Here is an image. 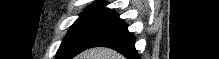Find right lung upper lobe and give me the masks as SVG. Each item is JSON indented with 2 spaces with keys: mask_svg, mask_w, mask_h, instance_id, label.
<instances>
[{
  "mask_svg": "<svg viewBox=\"0 0 219 59\" xmlns=\"http://www.w3.org/2000/svg\"><path fill=\"white\" fill-rule=\"evenodd\" d=\"M108 4L106 1H98L96 3H93L89 7L85 8V12L87 13H104V12H113L112 10L105 8V6Z\"/></svg>",
  "mask_w": 219,
  "mask_h": 59,
  "instance_id": "1",
  "label": "right lung upper lobe"
}]
</instances>
